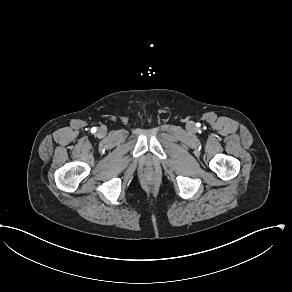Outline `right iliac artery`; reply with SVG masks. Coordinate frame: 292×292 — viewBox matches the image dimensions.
<instances>
[{"label":"right iliac artery","mask_w":292,"mask_h":292,"mask_svg":"<svg viewBox=\"0 0 292 292\" xmlns=\"http://www.w3.org/2000/svg\"><path fill=\"white\" fill-rule=\"evenodd\" d=\"M92 132L93 133H95L96 132V128L94 127V128H92Z\"/></svg>","instance_id":"obj_1"}]
</instances>
